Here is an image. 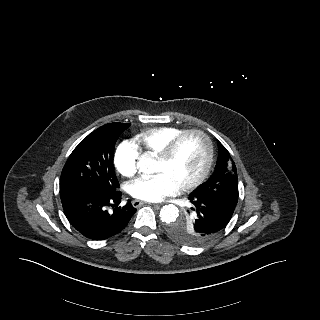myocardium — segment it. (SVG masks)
<instances>
[{"instance_id": "obj_1", "label": "myocardium", "mask_w": 320, "mask_h": 320, "mask_svg": "<svg viewBox=\"0 0 320 320\" xmlns=\"http://www.w3.org/2000/svg\"><path fill=\"white\" fill-rule=\"evenodd\" d=\"M191 135H197L204 140L205 148H206V158L200 174L197 177H195L193 180L179 186V191L181 192L194 189L195 187L199 186L208 177L213 164V160H214V147H213V143L210 136L200 129L185 130L184 132L179 134L177 137H175L173 140H171L168 143V145L164 148V150L157 156L158 160H161L164 162L170 161L174 157L181 142L186 137Z\"/></svg>"}]
</instances>
